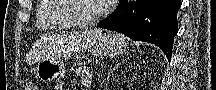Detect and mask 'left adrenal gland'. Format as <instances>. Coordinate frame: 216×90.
Listing matches in <instances>:
<instances>
[{
	"mask_svg": "<svg viewBox=\"0 0 216 90\" xmlns=\"http://www.w3.org/2000/svg\"><path fill=\"white\" fill-rule=\"evenodd\" d=\"M126 60H129V58H125V60H123V62H126ZM118 66H120V64H115V68H113V70H117ZM113 70H111L110 74H108L107 82H109V78H110L111 74H113Z\"/></svg>",
	"mask_w": 216,
	"mask_h": 90,
	"instance_id": "obj_1",
	"label": "left adrenal gland"
}]
</instances>
